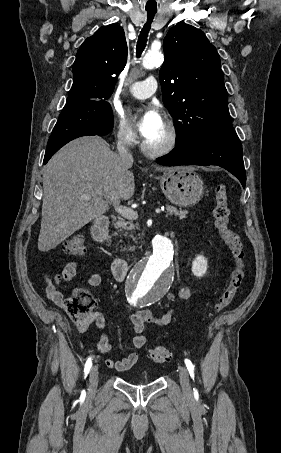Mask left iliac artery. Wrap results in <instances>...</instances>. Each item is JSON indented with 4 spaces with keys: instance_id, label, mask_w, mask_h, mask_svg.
<instances>
[{
    "instance_id": "left-iliac-artery-1",
    "label": "left iliac artery",
    "mask_w": 281,
    "mask_h": 453,
    "mask_svg": "<svg viewBox=\"0 0 281 453\" xmlns=\"http://www.w3.org/2000/svg\"><path fill=\"white\" fill-rule=\"evenodd\" d=\"M185 364H186V367H187V369H188V371H189L190 376H191V377L193 378V380H194V365H193V364L191 363V361L188 360V359H185ZM193 390H195V388H194Z\"/></svg>"
}]
</instances>
